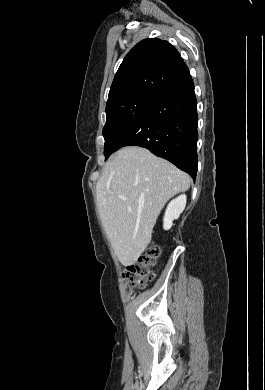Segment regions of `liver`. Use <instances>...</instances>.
Here are the masks:
<instances>
[{
	"instance_id": "1",
	"label": "liver",
	"mask_w": 265,
	"mask_h": 390,
	"mask_svg": "<svg viewBox=\"0 0 265 390\" xmlns=\"http://www.w3.org/2000/svg\"><path fill=\"white\" fill-rule=\"evenodd\" d=\"M190 184L186 173L145 148L127 146L108 160L96 185L97 206L122 265L135 264L166 202Z\"/></svg>"
}]
</instances>
